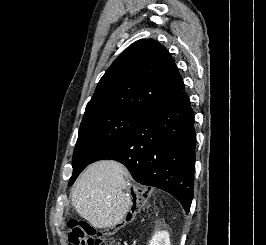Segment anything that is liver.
Segmentation results:
<instances>
[{
    "label": "liver",
    "mask_w": 266,
    "mask_h": 245,
    "mask_svg": "<svg viewBox=\"0 0 266 245\" xmlns=\"http://www.w3.org/2000/svg\"><path fill=\"white\" fill-rule=\"evenodd\" d=\"M128 179L126 167L116 161L89 165L73 189L72 201L77 213L95 229L115 227L128 213Z\"/></svg>",
    "instance_id": "obj_1"
}]
</instances>
